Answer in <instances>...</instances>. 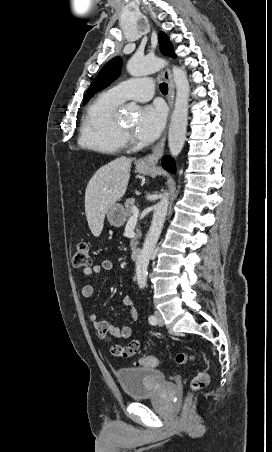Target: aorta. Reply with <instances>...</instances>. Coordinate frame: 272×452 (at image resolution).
I'll use <instances>...</instances> for the list:
<instances>
[{
    "label": "aorta",
    "instance_id": "obj_1",
    "mask_svg": "<svg viewBox=\"0 0 272 452\" xmlns=\"http://www.w3.org/2000/svg\"><path fill=\"white\" fill-rule=\"evenodd\" d=\"M166 64L167 62L164 59L157 57L139 58L133 56L127 63V71L130 75L138 77L157 72ZM172 73L176 87V98L168 132V146L171 155L177 157L186 139L190 85L187 74L183 69L173 66ZM168 206L169 194L164 193L155 206L151 226L136 262V280L140 289L146 287L148 264L162 232Z\"/></svg>",
    "mask_w": 272,
    "mask_h": 452
}]
</instances>
